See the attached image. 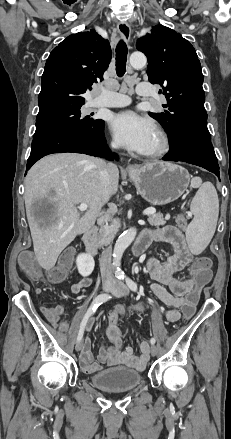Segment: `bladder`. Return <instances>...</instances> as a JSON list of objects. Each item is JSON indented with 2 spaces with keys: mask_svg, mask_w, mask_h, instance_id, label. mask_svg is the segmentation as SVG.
<instances>
[{
  "mask_svg": "<svg viewBox=\"0 0 231 439\" xmlns=\"http://www.w3.org/2000/svg\"><path fill=\"white\" fill-rule=\"evenodd\" d=\"M89 381L101 390L125 391L136 388L141 383L142 376L134 369L114 367L93 374Z\"/></svg>",
  "mask_w": 231,
  "mask_h": 439,
  "instance_id": "31cf9c89",
  "label": "bladder"
}]
</instances>
